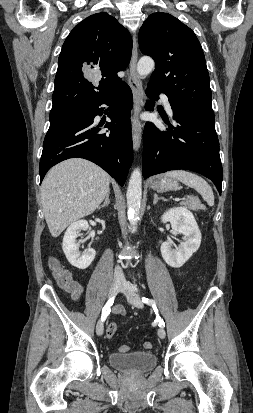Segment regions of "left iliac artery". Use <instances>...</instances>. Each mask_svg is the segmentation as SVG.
<instances>
[{
	"instance_id": "44dca946",
	"label": "left iliac artery",
	"mask_w": 253,
	"mask_h": 413,
	"mask_svg": "<svg viewBox=\"0 0 253 413\" xmlns=\"http://www.w3.org/2000/svg\"><path fill=\"white\" fill-rule=\"evenodd\" d=\"M141 299H142L143 303L151 306L154 309L155 313L157 314V321L159 322V326L162 327V328L165 327V323H164L163 319L158 314V309L156 307V302L153 299L146 298V297H142Z\"/></svg>"
}]
</instances>
